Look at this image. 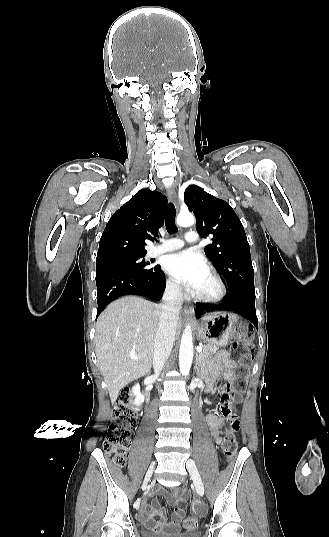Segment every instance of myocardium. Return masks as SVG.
Masks as SVG:
<instances>
[{"label": "myocardium", "instance_id": "1", "mask_svg": "<svg viewBox=\"0 0 329 537\" xmlns=\"http://www.w3.org/2000/svg\"><path fill=\"white\" fill-rule=\"evenodd\" d=\"M208 273L211 275V277L215 281L216 291L212 294H207V295L196 292L194 294V297L201 302H206V303L218 302L222 300L227 294L226 284L224 280L222 279V277L220 276V274L215 269L209 267Z\"/></svg>", "mask_w": 329, "mask_h": 537}]
</instances>
